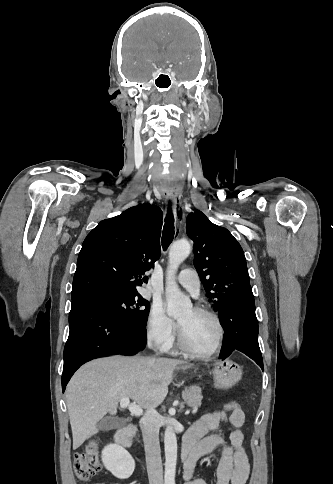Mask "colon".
Listing matches in <instances>:
<instances>
[{"mask_svg": "<svg viewBox=\"0 0 333 484\" xmlns=\"http://www.w3.org/2000/svg\"><path fill=\"white\" fill-rule=\"evenodd\" d=\"M240 409L236 401L226 403L222 410L231 412ZM99 448L97 441H91L82 452L74 455V471L77 478L81 481H90L100 471Z\"/></svg>", "mask_w": 333, "mask_h": 484, "instance_id": "1", "label": "colon"}]
</instances>
